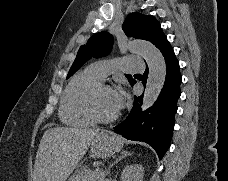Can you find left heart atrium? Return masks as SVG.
Returning <instances> with one entry per match:
<instances>
[{"label":"left heart atrium","mask_w":228,"mask_h":181,"mask_svg":"<svg viewBox=\"0 0 228 181\" xmlns=\"http://www.w3.org/2000/svg\"><path fill=\"white\" fill-rule=\"evenodd\" d=\"M114 98H115V108L118 109L122 105V96L119 91H115Z\"/></svg>","instance_id":"1"}]
</instances>
